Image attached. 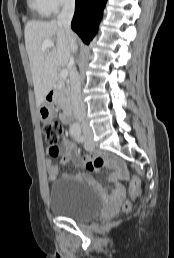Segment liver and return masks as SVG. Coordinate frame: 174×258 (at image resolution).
Returning <instances> with one entry per match:
<instances>
[{
    "mask_svg": "<svg viewBox=\"0 0 174 258\" xmlns=\"http://www.w3.org/2000/svg\"><path fill=\"white\" fill-rule=\"evenodd\" d=\"M24 34L36 105L39 108L57 81V69L67 66L71 59L70 41L64 28L56 20L28 21ZM73 37L75 39L74 35ZM47 40L55 43V46L43 52L41 47Z\"/></svg>",
    "mask_w": 174,
    "mask_h": 258,
    "instance_id": "obj_1",
    "label": "liver"
}]
</instances>
